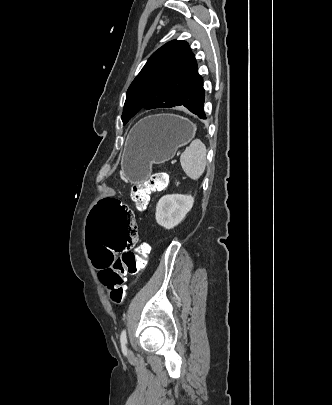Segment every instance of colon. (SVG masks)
<instances>
[{
  "instance_id": "colon-1",
  "label": "colon",
  "mask_w": 332,
  "mask_h": 405,
  "mask_svg": "<svg viewBox=\"0 0 332 405\" xmlns=\"http://www.w3.org/2000/svg\"><path fill=\"white\" fill-rule=\"evenodd\" d=\"M169 183L166 173H155L132 187L131 199L138 208H145L150 193L164 190ZM93 210L89 212L87 257H91L90 267L100 272L109 299L119 304L126 296V276L145 268L149 245L142 243L134 249L140 227H135V215L120 197H103L102 202L93 203Z\"/></svg>"
}]
</instances>
